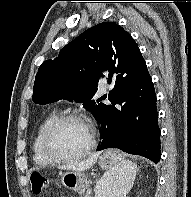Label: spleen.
Returning <instances> with one entry per match:
<instances>
[{"instance_id":"1","label":"spleen","mask_w":191,"mask_h":197,"mask_svg":"<svg viewBox=\"0 0 191 197\" xmlns=\"http://www.w3.org/2000/svg\"><path fill=\"white\" fill-rule=\"evenodd\" d=\"M136 172L137 168L134 163L129 160H122L107 173V190L101 196V192L98 189V196L125 197L134 184Z\"/></svg>"}]
</instances>
